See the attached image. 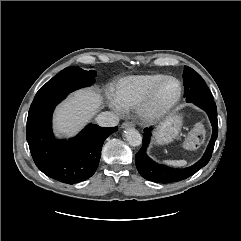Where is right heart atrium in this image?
Segmentation results:
<instances>
[{
  "label": "right heart atrium",
  "mask_w": 241,
  "mask_h": 241,
  "mask_svg": "<svg viewBox=\"0 0 241 241\" xmlns=\"http://www.w3.org/2000/svg\"><path fill=\"white\" fill-rule=\"evenodd\" d=\"M109 105L117 112H121L123 110L122 107L117 103V101L113 97L109 98Z\"/></svg>",
  "instance_id": "1"
}]
</instances>
